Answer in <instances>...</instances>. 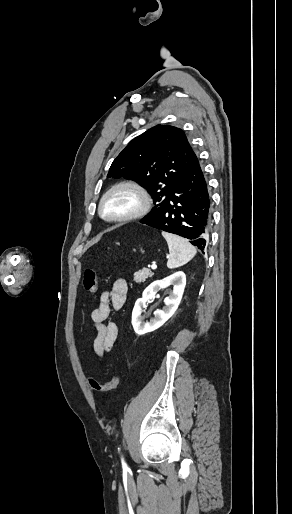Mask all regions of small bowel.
<instances>
[{"label": "small bowel", "instance_id": "obj_1", "mask_svg": "<svg viewBox=\"0 0 292 514\" xmlns=\"http://www.w3.org/2000/svg\"><path fill=\"white\" fill-rule=\"evenodd\" d=\"M127 292L128 284L126 280L123 278L116 279L111 288L101 294L99 306L91 313L92 326L96 331L93 349L100 359L117 346L118 325L113 321L106 323V320L112 310L118 311L124 306Z\"/></svg>", "mask_w": 292, "mask_h": 514}]
</instances>
